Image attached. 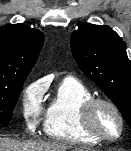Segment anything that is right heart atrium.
<instances>
[{
	"label": "right heart atrium",
	"instance_id": "right-heart-atrium-1",
	"mask_svg": "<svg viewBox=\"0 0 131 151\" xmlns=\"http://www.w3.org/2000/svg\"><path fill=\"white\" fill-rule=\"evenodd\" d=\"M44 90L42 82L34 81L24 89L22 94L23 118L28 128L32 130L36 128L40 120Z\"/></svg>",
	"mask_w": 131,
	"mask_h": 151
}]
</instances>
